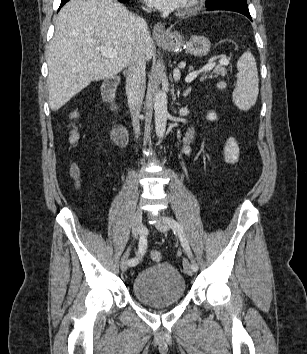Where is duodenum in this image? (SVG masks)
<instances>
[{"mask_svg": "<svg viewBox=\"0 0 307 354\" xmlns=\"http://www.w3.org/2000/svg\"><path fill=\"white\" fill-rule=\"evenodd\" d=\"M119 85L118 77L106 79L102 86V99L112 115V135L120 145H126L129 141L127 127L121 121L120 108L116 102V90Z\"/></svg>", "mask_w": 307, "mask_h": 354, "instance_id": "410a0bca", "label": "duodenum"}]
</instances>
